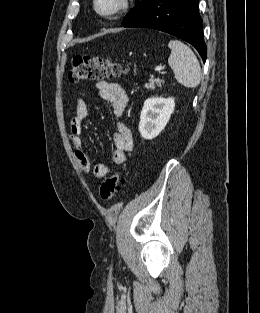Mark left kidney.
Masks as SVG:
<instances>
[{
    "mask_svg": "<svg viewBox=\"0 0 260 313\" xmlns=\"http://www.w3.org/2000/svg\"><path fill=\"white\" fill-rule=\"evenodd\" d=\"M174 108V98H148L144 102L140 115L139 132L141 136L147 140L157 137L169 122Z\"/></svg>",
    "mask_w": 260,
    "mask_h": 313,
    "instance_id": "left-kidney-1",
    "label": "left kidney"
}]
</instances>
